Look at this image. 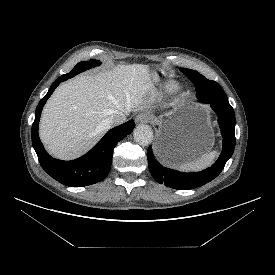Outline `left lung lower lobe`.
<instances>
[{"instance_id":"obj_1","label":"left lung lower lobe","mask_w":275,"mask_h":275,"mask_svg":"<svg viewBox=\"0 0 275 275\" xmlns=\"http://www.w3.org/2000/svg\"><path fill=\"white\" fill-rule=\"evenodd\" d=\"M208 87L212 88L213 86L210 84ZM198 100L210 104L217 113L223 136V149L218 160L211 167L201 172L183 173L163 167L155 159L152 148L149 147L147 159L151 175L158 183L173 189L188 190L210 182L221 173L235 148V114L229 102L207 97Z\"/></svg>"}]
</instances>
